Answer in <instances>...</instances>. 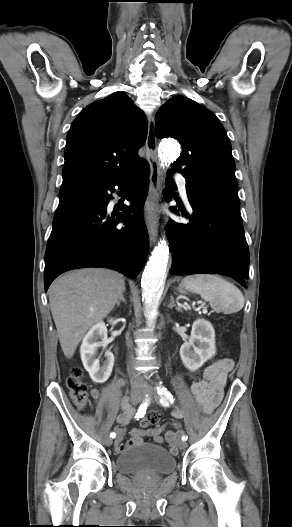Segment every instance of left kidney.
<instances>
[{
  "instance_id": "1",
  "label": "left kidney",
  "mask_w": 292,
  "mask_h": 527,
  "mask_svg": "<svg viewBox=\"0 0 292 527\" xmlns=\"http://www.w3.org/2000/svg\"><path fill=\"white\" fill-rule=\"evenodd\" d=\"M215 353V331L212 324L205 319L195 320L189 341L180 348L184 366L190 371H196Z\"/></svg>"
}]
</instances>
